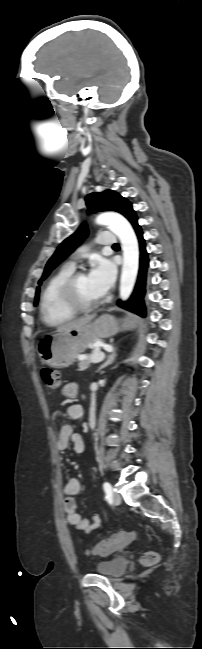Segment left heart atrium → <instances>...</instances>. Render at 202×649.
<instances>
[{
    "instance_id": "left-heart-atrium-1",
    "label": "left heart atrium",
    "mask_w": 202,
    "mask_h": 649,
    "mask_svg": "<svg viewBox=\"0 0 202 649\" xmlns=\"http://www.w3.org/2000/svg\"><path fill=\"white\" fill-rule=\"evenodd\" d=\"M87 278L92 288L103 296L114 284L116 267L110 260L98 257L93 260Z\"/></svg>"
}]
</instances>
